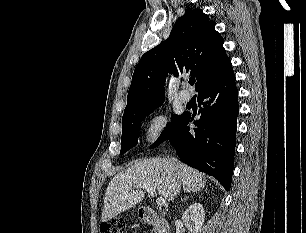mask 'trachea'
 I'll return each instance as SVG.
<instances>
[{
  "label": "trachea",
  "mask_w": 306,
  "mask_h": 233,
  "mask_svg": "<svg viewBox=\"0 0 306 233\" xmlns=\"http://www.w3.org/2000/svg\"><path fill=\"white\" fill-rule=\"evenodd\" d=\"M194 83H195V78L193 77V78H190L189 79V84L190 85H194Z\"/></svg>",
  "instance_id": "obj_1"
}]
</instances>
